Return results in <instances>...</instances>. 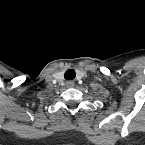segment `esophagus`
<instances>
[{
    "label": "esophagus",
    "instance_id": "1",
    "mask_svg": "<svg viewBox=\"0 0 145 145\" xmlns=\"http://www.w3.org/2000/svg\"><path fill=\"white\" fill-rule=\"evenodd\" d=\"M66 85H67L68 87H72V86H74V82H73V81H68V82L66 83Z\"/></svg>",
    "mask_w": 145,
    "mask_h": 145
}]
</instances>
